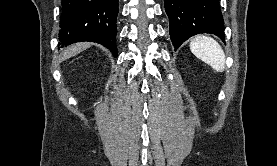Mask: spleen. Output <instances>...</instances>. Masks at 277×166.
<instances>
[{
	"instance_id": "obj_1",
	"label": "spleen",
	"mask_w": 277,
	"mask_h": 166,
	"mask_svg": "<svg viewBox=\"0 0 277 166\" xmlns=\"http://www.w3.org/2000/svg\"><path fill=\"white\" fill-rule=\"evenodd\" d=\"M191 52L217 72L225 69V53L216 40L199 35L190 43Z\"/></svg>"
}]
</instances>
